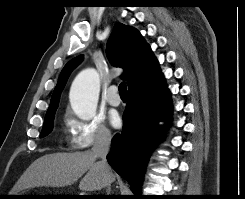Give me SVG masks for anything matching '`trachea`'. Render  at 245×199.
<instances>
[{"label":"trachea","instance_id":"3493384b","mask_svg":"<svg viewBox=\"0 0 245 199\" xmlns=\"http://www.w3.org/2000/svg\"><path fill=\"white\" fill-rule=\"evenodd\" d=\"M119 94L121 96H126L127 95V88H126V83L125 82H122L119 85Z\"/></svg>","mask_w":245,"mask_h":199}]
</instances>
